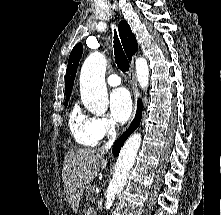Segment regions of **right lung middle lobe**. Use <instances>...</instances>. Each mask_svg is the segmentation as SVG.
Segmentation results:
<instances>
[{"label": "right lung middle lobe", "instance_id": "dd1d6c3e", "mask_svg": "<svg viewBox=\"0 0 221 215\" xmlns=\"http://www.w3.org/2000/svg\"><path fill=\"white\" fill-rule=\"evenodd\" d=\"M68 100H69V99H66V100H65V103H64V104H65V107H67V105H68Z\"/></svg>", "mask_w": 221, "mask_h": 215}]
</instances>
